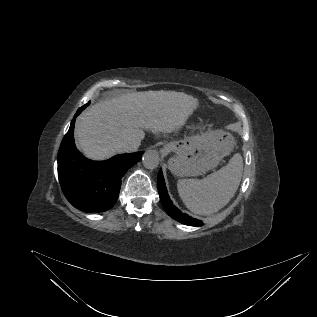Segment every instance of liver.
Masks as SVG:
<instances>
[{
	"label": "liver",
	"mask_w": 317,
	"mask_h": 317,
	"mask_svg": "<svg viewBox=\"0 0 317 317\" xmlns=\"http://www.w3.org/2000/svg\"><path fill=\"white\" fill-rule=\"evenodd\" d=\"M199 106L193 96L176 91H144L100 101L76 120L75 138L83 154L105 160L117 153L119 144L145 137L143 130L170 133L184 126Z\"/></svg>",
	"instance_id": "1"
}]
</instances>
